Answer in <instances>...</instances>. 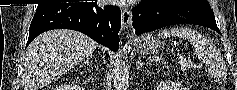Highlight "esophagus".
I'll return each instance as SVG.
<instances>
[{
    "instance_id": "34e87169",
    "label": "esophagus",
    "mask_w": 237,
    "mask_h": 90,
    "mask_svg": "<svg viewBox=\"0 0 237 90\" xmlns=\"http://www.w3.org/2000/svg\"><path fill=\"white\" fill-rule=\"evenodd\" d=\"M121 12V30L128 31L131 27V10L129 8L123 7Z\"/></svg>"
}]
</instances>
